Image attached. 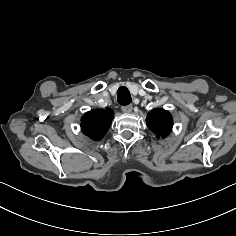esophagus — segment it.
<instances>
[{
	"instance_id": "obj_1",
	"label": "esophagus",
	"mask_w": 236,
	"mask_h": 236,
	"mask_svg": "<svg viewBox=\"0 0 236 236\" xmlns=\"http://www.w3.org/2000/svg\"><path fill=\"white\" fill-rule=\"evenodd\" d=\"M121 109L124 113H130L133 108H132V105H126V106H122Z\"/></svg>"
}]
</instances>
